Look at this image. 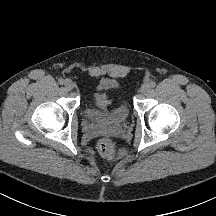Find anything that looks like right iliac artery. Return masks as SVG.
<instances>
[{"mask_svg":"<svg viewBox=\"0 0 216 216\" xmlns=\"http://www.w3.org/2000/svg\"><path fill=\"white\" fill-rule=\"evenodd\" d=\"M64 79H62V78H60L59 80H58V83L60 84V85H63L64 84Z\"/></svg>","mask_w":216,"mask_h":216,"instance_id":"1","label":"right iliac artery"}]
</instances>
